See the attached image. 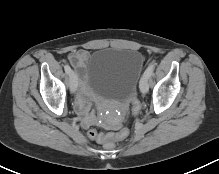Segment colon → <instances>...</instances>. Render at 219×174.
I'll return each instance as SVG.
<instances>
[{
  "instance_id": "1",
  "label": "colon",
  "mask_w": 219,
  "mask_h": 174,
  "mask_svg": "<svg viewBox=\"0 0 219 174\" xmlns=\"http://www.w3.org/2000/svg\"><path fill=\"white\" fill-rule=\"evenodd\" d=\"M131 111L133 115H138L141 111V103L136 98L131 99ZM129 135V130L127 128H122L116 133L113 134H104L100 133L94 129L89 130L88 136L97 142L103 143L107 148L111 149L114 146L115 141H120L125 139Z\"/></svg>"
}]
</instances>
